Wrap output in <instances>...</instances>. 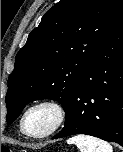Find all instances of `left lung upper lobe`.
<instances>
[{
	"label": "left lung upper lobe",
	"instance_id": "1",
	"mask_svg": "<svg viewBox=\"0 0 123 152\" xmlns=\"http://www.w3.org/2000/svg\"><path fill=\"white\" fill-rule=\"evenodd\" d=\"M122 4L61 0L45 13L16 55L5 100L8 124L34 100L53 99L66 107Z\"/></svg>",
	"mask_w": 123,
	"mask_h": 152
}]
</instances>
